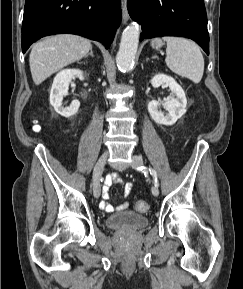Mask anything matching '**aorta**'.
<instances>
[{"label": "aorta", "instance_id": "1", "mask_svg": "<svg viewBox=\"0 0 243 289\" xmlns=\"http://www.w3.org/2000/svg\"><path fill=\"white\" fill-rule=\"evenodd\" d=\"M139 35L140 26L134 22L123 31L116 56V63L121 71H128L132 68L138 49Z\"/></svg>", "mask_w": 243, "mask_h": 289}]
</instances>
